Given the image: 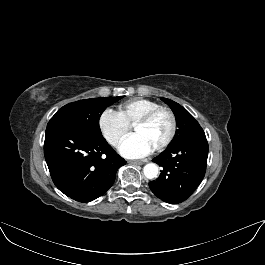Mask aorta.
<instances>
[{"mask_svg": "<svg viewBox=\"0 0 265 265\" xmlns=\"http://www.w3.org/2000/svg\"><path fill=\"white\" fill-rule=\"evenodd\" d=\"M143 173L146 178L153 179L158 175V166L154 163L146 164L143 168Z\"/></svg>", "mask_w": 265, "mask_h": 265, "instance_id": "762f6f07", "label": "aorta"}]
</instances>
